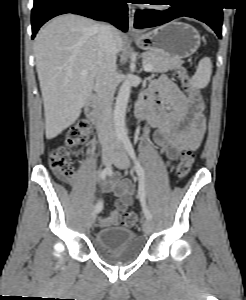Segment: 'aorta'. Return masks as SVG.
Listing matches in <instances>:
<instances>
[{
	"label": "aorta",
	"mask_w": 246,
	"mask_h": 300,
	"mask_svg": "<svg viewBox=\"0 0 246 300\" xmlns=\"http://www.w3.org/2000/svg\"><path fill=\"white\" fill-rule=\"evenodd\" d=\"M131 93V80L126 78L125 81L120 86L118 95L116 97V103L113 112V123L115 135L118 139H126V129H125V116L126 109Z\"/></svg>",
	"instance_id": "aorta-1"
}]
</instances>
